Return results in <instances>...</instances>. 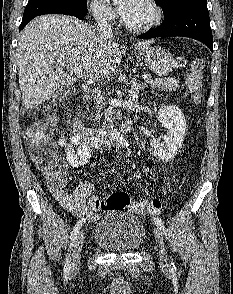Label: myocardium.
<instances>
[{
  "instance_id": "obj_1",
  "label": "myocardium",
  "mask_w": 233,
  "mask_h": 294,
  "mask_svg": "<svg viewBox=\"0 0 233 294\" xmlns=\"http://www.w3.org/2000/svg\"><path fill=\"white\" fill-rule=\"evenodd\" d=\"M152 10L151 19L141 25H133L127 22L125 19L123 20L124 26L131 32L134 33H144L150 31L151 29L158 26L162 20L163 12L159 4L155 0H144Z\"/></svg>"
}]
</instances>
